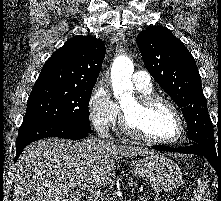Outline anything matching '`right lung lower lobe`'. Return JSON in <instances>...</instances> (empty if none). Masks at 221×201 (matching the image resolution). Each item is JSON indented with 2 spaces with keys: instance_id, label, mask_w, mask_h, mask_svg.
Instances as JSON below:
<instances>
[{
  "instance_id": "98d812e1",
  "label": "right lung lower lobe",
  "mask_w": 221,
  "mask_h": 201,
  "mask_svg": "<svg viewBox=\"0 0 221 201\" xmlns=\"http://www.w3.org/2000/svg\"><path fill=\"white\" fill-rule=\"evenodd\" d=\"M90 131L72 124L55 122H37L26 126L21 125L16 140V157L14 162L17 161L23 148L33 141L48 137L82 139Z\"/></svg>"
}]
</instances>
